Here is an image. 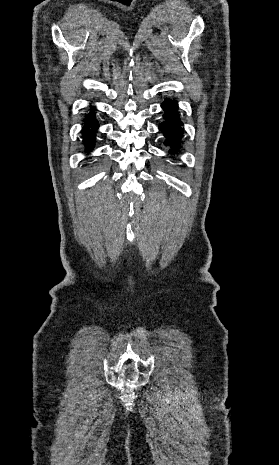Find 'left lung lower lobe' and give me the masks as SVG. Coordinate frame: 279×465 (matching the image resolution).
Listing matches in <instances>:
<instances>
[{
    "label": "left lung lower lobe",
    "instance_id": "obj_1",
    "mask_svg": "<svg viewBox=\"0 0 279 465\" xmlns=\"http://www.w3.org/2000/svg\"><path fill=\"white\" fill-rule=\"evenodd\" d=\"M161 106L164 110L163 117L165 121L160 124L159 129L167 138L164 144L171 146V153L177 152L180 147L183 134V128L181 127L183 123L181 122L177 112V102L167 99Z\"/></svg>",
    "mask_w": 279,
    "mask_h": 465
}]
</instances>
